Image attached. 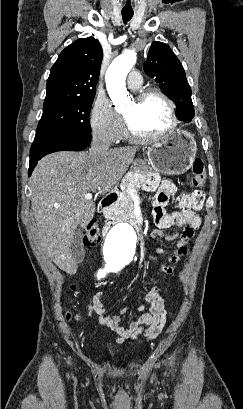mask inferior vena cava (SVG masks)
Listing matches in <instances>:
<instances>
[{
    "label": "inferior vena cava",
    "instance_id": "602c4592",
    "mask_svg": "<svg viewBox=\"0 0 243 409\" xmlns=\"http://www.w3.org/2000/svg\"><path fill=\"white\" fill-rule=\"evenodd\" d=\"M109 147H110L109 140L100 135H94L90 148V154L93 156L102 155L109 150Z\"/></svg>",
    "mask_w": 243,
    "mask_h": 409
}]
</instances>
